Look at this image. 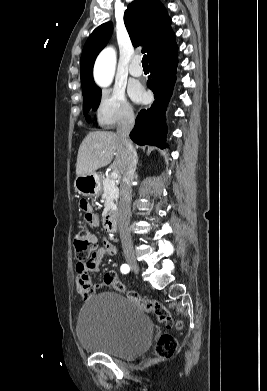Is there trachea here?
<instances>
[{
	"label": "trachea",
	"mask_w": 267,
	"mask_h": 391,
	"mask_svg": "<svg viewBox=\"0 0 267 391\" xmlns=\"http://www.w3.org/2000/svg\"><path fill=\"white\" fill-rule=\"evenodd\" d=\"M142 65H148L146 55H144L143 58H142Z\"/></svg>",
	"instance_id": "1"
}]
</instances>
